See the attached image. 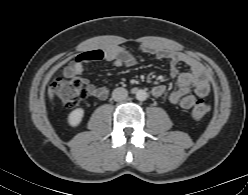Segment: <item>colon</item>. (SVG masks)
<instances>
[{
  "mask_svg": "<svg viewBox=\"0 0 248 195\" xmlns=\"http://www.w3.org/2000/svg\"><path fill=\"white\" fill-rule=\"evenodd\" d=\"M51 92L62 102L65 107H74L87 94L85 83L78 78L58 77L50 85ZM210 111V105L204 99L195 101L192 115L196 119L203 118Z\"/></svg>",
  "mask_w": 248,
  "mask_h": 195,
  "instance_id": "1",
  "label": "colon"
}]
</instances>
